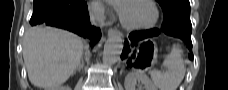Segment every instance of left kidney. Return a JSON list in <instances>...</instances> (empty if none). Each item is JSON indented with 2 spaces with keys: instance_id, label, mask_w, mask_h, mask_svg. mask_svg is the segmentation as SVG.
<instances>
[{
  "instance_id": "obj_1",
  "label": "left kidney",
  "mask_w": 228,
  "mask_h": 90,
  "mask_svg": "<svg viewBox=\"0 0 228 90\" xmlns=\"http://www.w3.org/2000/svg\"><path fill=\"white\" fill-rule=\"evenodd\" d=\"M137 81H141L145 90H157L150 79L145 74L140 72H131L125 77V90H135Z\"/></svg>"
}]
</instances>
